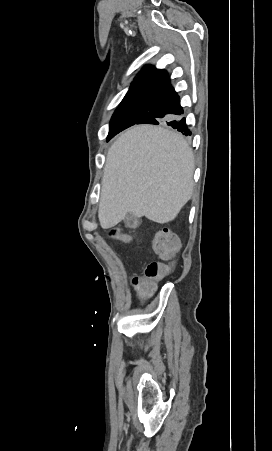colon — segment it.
<instances>
[{"label": "colon", "instance_id": "5ec220e1", "mask_svg": "<svg viewBox=\"0 0 272 451\" xmlns=\"http://www.w3.org/2000/svg\"><path fill=\"white\" fill-rule=\"evenodd\" d=\"M129 237L133 236L132 232L128 233ZM138 237H144V232H138ZM109 237L112 239L122 240L125 239V234L121 229H114L109 232ZM151 242L153 249H158V255L163 256L165 260H174L176 253L172 250H178L180 247V241L176 234L170 233L167 229H163L157 235L153 237H144L139 242L141 249L148 247V242ZM174 270L173 262H149L143 269V274H131L130 287L131 289H141V297H150V289H159L162 278L167 277V271Z\"/></svg>", "mask_w": 272, "mask_h": 451}]
</instances>
